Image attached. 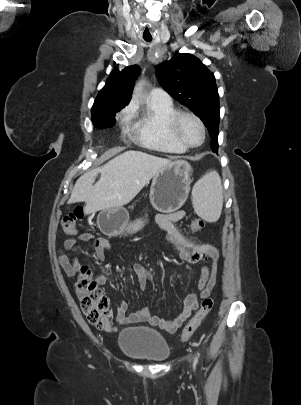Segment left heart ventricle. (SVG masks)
<instances>
[{
	"label": "left heart ventricle",
	"instance_id": "1",
	"mask_svg": "<svg viewBox=\"0 0 301 405\" xmlns=\"http://www.w3.org/2000/svg\"><path fill=\"white\" fill-rule=\"evenodd\" d=\"M180 133L184 140L191 145H197L202 140L200 126L194 119L190 117H185L182 119L180 123Z\"/></svg>",
	"mask_w": 301,
	"mask_h": 405
}]
</instances>
